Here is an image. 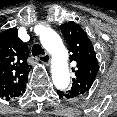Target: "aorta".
Wrapping results in <instances>:
<instances>
[{"mask_svg": "<svg viewBox=\"0 0 117 117\" xmlns=\"http://www.w3.org/2000/svg\"><path fill=\"white\" fill-rule=\"evenodd\" d=\"M42 46L52 56V80L55 87L64 90L69 86L70 73L68 68V50L59 34L51 28H45L40 34Z\"/></svg>", "mask_w": 117, "mask_h": 117, "instance_id": "762f6f07", "label": "aorta"}]
</instances>
